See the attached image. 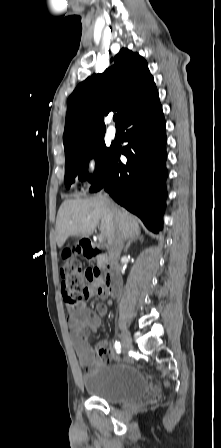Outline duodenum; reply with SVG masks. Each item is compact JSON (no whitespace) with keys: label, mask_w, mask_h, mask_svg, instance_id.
<instances>
[{"label":"duodenum","mask_w":221,"mask_h":448,"mask_svg":"<svg viewBox=\"0 0 221 448\" xmlns=\"http://www.w3.org/2000/svg\"><path fill=\"white\" fill-rule=\"evenodd\" d=\"M82 254L88 259H96L103 272L102 287L106 294L117 295L119 293L121 281L118 277V269L112 266L106 252L95 246L88 238H83L81 243Z\"/></svg>","instance_id":"410a0bca"}]
</instances>
